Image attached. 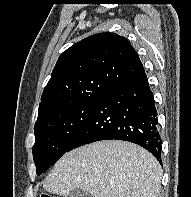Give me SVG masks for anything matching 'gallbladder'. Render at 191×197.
<instances>
[{
    "instance_id": "obj_1",
    "label": "gallbladder",
    "mask_w": 191,
    "mask_h": 197,
    "mask_svg": "<svg viewBox=\"0 0 191 197\" xmlns=\"http://www.w3.org/2000/svg\"><path fill=\"white\" fill-rule=\"evenodd\" d=\"M87 196V193L86 192H84L83 190H81V189H74V190H72L70 193H69V195H68V197H86Z\"/></svg>"
}]
</instances>
